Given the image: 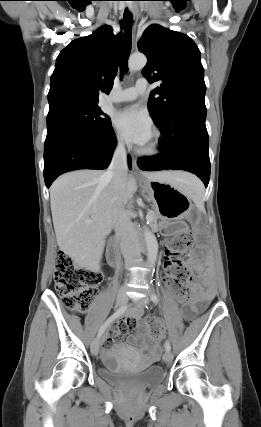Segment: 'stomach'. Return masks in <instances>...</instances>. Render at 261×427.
I'll list each match as a JSON object with an SVG mask.
<instances>
[{
  "instance_id": "0dacf381",
  "label": "stomach",
  "mask_w": 261,
  "mask_h": 427,
  "mask_svg": "<svg viewBox=\"0 0 261 427\" xmlns=\"http://www.w3.org/2000/svg\"><path fill=\"white\" fill-rule=\"evenodd\" d=\"M140 183L162 220L181 219L191 211L192 204L188 194L176 186L148 180Z\"/></svg>"
}]
</instances>
